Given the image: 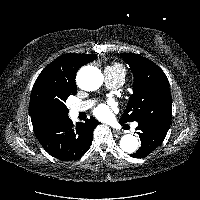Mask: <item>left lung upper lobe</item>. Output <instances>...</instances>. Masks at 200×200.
I'll return each instance as SVG.
<instances>
[{
    "mask_svg": "<svg viewBox=\"0 0 200 200\" xmlns=\"http://www.w3.org/2000/svg\"><path fill=\"white\" fill-rule=\"evenodd\" d=\"M134 76L133 94L120 122H151L169 128L172 98L164 72L152 61L138 54L123 53Z\"/></svg>",
    "mask_w": 200,
    "mask_h": 200,
    "instance_id": "5c2ea615",
    "label": "left lung upper lobe"
}]
</instances>
